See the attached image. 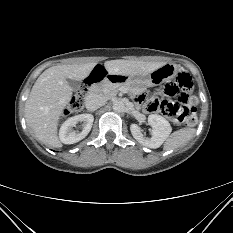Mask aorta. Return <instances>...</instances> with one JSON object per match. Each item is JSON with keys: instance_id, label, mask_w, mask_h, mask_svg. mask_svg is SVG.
<instances>
[{"instance_id": "obj_1", "label": "aorta", "mask_w": 233, "mask_h": 233, "mask_svg": "<svg viewBox=\"0 0 233 233\" xmlns=\"http://www.w3.org/2000/svg\"><path fill=\"white\" fill-rule=\"evenodd\" d=\"M112 108L115 112L119 113V112H122L124 110L125 105L122 101H116V102H114Z\"/></svg>"}]
</instances>
